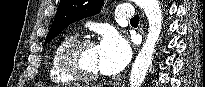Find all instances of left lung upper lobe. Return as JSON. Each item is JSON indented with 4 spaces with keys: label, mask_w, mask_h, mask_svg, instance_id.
I'll return each mask as SVG.
<instances>
[{
    "label": "left lung upper lobe",
    "mask_w": 205,
    "mask_h": 87,
    "mask_svg": "<svg viewBox=\"0 0 205 87\" xmlns=\"http://www.w3.org/2000/svg\"><path fill=\"white\" fill-rule=\"evenodd\" d=\"M104 0H61L45 44L71 23L99 13Z\"/></svg>",
    "instance_id": "5c2ea615"
}]
</instances>
